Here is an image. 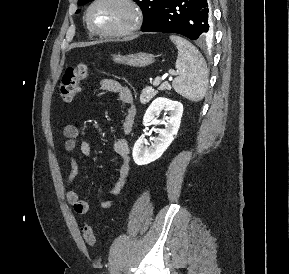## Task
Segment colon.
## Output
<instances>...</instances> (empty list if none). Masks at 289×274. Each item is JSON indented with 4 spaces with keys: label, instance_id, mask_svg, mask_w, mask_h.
I'll use <instances>...</instances> for the list:
<instances>
[{
    "label": "colon",
    "instance_id": "colon-1",
    "mask_svg": "<svg viewBox=\"0 0 289 274\" xmlns=\"http://www.w3.org/2000/svg\"><path fill=\"white\" fill-rule=\"evenodd\" d=\"M88 67L85 64H79L76 67L67 68L61 76L59 84V97L64 103H71L77 95L81 82L87 77ZM83 238L85 242L94 246L96 244V235L89 225L83 227Z\"/></svg>",
    "mask_w": 289,
    "mask_h": 274
}]
</instances>
